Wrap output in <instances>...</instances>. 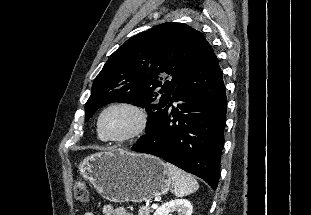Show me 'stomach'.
I'll use <instances>...</instances> for the list:
<instances>
[{
    "mask_svg": "<svg viewBox=\"0 0 311 215\" xmlns=\"http://www.w3.org/2000/svg\"><path fill=\"white\" fill-rule=\"evenodd\" d=\"M78 168L103 198L117 203L159 198L171 187V178L162 160L123 149L88 156Z\"/></svg>",
    "mask_w": 311,
    "mask_h": 215,
    "instance_id": "stomach-1",
    "label": "stomach"
}]
</instances>
